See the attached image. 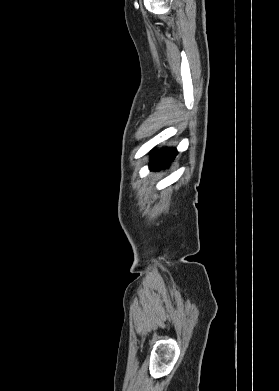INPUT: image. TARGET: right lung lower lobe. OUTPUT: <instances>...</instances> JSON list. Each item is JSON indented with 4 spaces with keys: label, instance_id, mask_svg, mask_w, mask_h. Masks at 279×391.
I'll return each instance as SVG.
<instances>
[{
    "label": "right lung lower lobe",
    "instance_id": "obj_1",
    "mask_svg": "<svg viewBox=\"0 0 279 391\" xmlns=\"http://www.w3.org/2000/svg\"><path fill=\"white\" fill-rule=\"evenodd\" d=\"M177 154L175 148H164L154 151L151 157L150 170H161L169 166Z\"/></svg>",
    "mask_w": 279,
    "mask_h": 391
}]
</instances>
